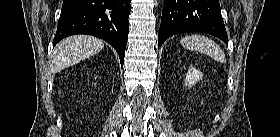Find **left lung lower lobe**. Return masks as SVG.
Here are the masks:
<instances>
[{
  "mask_svg": "<svg viewBox=\"0 0 280 137\" xmlns=\"http://www.w3.org/2000/svg\"><path fill=\"white\" fill-rule=\"evenodd\" d=\"M185 32L208 33L228 44L219 0H165L158 46L170 36Z\"/></svg>",
  "mask_w": 280,
  "mask_h": 137,
  "instance_id": "left-lung-lower-lobe-1",
  "label": "left lung lower lobe"
}]
</instances>
